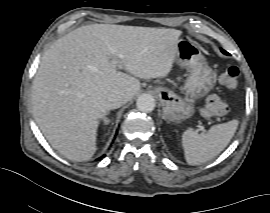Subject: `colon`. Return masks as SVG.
Wrapping results in <instances>:
<instances>
[{
	"label": "colon",
	"instance_id": "5ec220e1",
	"mask_svg": "<svg viewBox=\"0 0 270 213\" xmlns=\"http://www.w3.org/2000/svg\"><path fill=\"white\" fill-rule=\"evenodd\" d=\"M239 71L235 66L229 67L221 76L220 84L226 90L234 89L238 84ZM229 110L228 102L217 95L208 97L202 106L201 113L205 118L217 119Z\"/></svg>",
	"mask_w": 270,
	"mask_h": 213
}]
</instances>
